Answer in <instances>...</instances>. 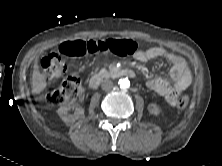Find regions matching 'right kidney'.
I'll list each match as a JSON object with an SVG mask.
<instances>
[{
	"mask_svg": "<svg viewBox=\"0 0 222 166\" xmlns=\"http://www.w3.org/2000/svg\"><path fill=\"white\" fill-rule=\"evenodd\" d=\"M70 108H71L70 105H66V106H61L57 110L58 115L66 124H72L76 120L84 116V109L81 106L78 105L73 106V109H75L74 114H68V110Z\"/></svg>",
	"mask_w": 222,
	"mask_h": 166,
	"instance_id": "ca27d5eb",
	"label": "right kidney"
}]
</instances>
